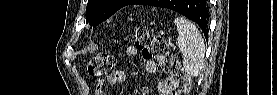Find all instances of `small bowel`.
Returning a JSON list of instances; mask_svg holds the SVG:
<instances>
[{
	"label": "small bowel",
	"instance_id": "c3829d8e",
	"mask_svg": "<svg viewBox=\"0 0 277 95\" xmlns=\"http://www.w3.org/2000/svg\"><path fill=\"white\" fill-rule=\"evenodd\" d=\"M125 55L127 57H136L138 52L135 47L128 46L125 48ZM145 60V66L149 73H157V63L152 59H147L142 56ZM126 79V74L123 70H118L113 74L108 75L105 79H99L95 83V91L97 95H106L105 85L106 84H116L123 82ZM177 79L174 76H166L165 81L159 85V95H173V91L176 87Z\"/></svg>",
	"mask_w": 277,
	"mask_h": 95
}]
</instances>
